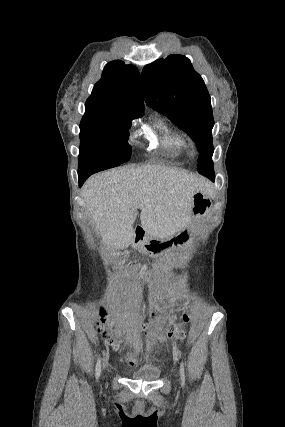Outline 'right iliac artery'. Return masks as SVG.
Segmentation results:
<instances>
[{"instance_id": "right-iliac-artery-1", "label": "right iliac artery", "mask_w": 285, "mask_h": 427, "mask_svg": "<svg viewBox=\"0 0 285 427\" xmlns=\"http://www.w3.org/2000/svg\"><path fill=\"white\" fill-rule=\"evenodd\" d=\"M101 372V359L98 357L97 364H96V377L98 378L100 376Z\"/></svg>"}]
</instances>
